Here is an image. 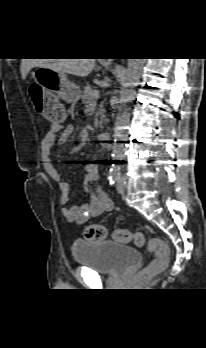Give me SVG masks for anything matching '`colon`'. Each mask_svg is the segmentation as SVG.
Returning <instances> with one entry per match:
<instances>
[{
	"instance_id": "obj_1",
	"label": "colon",
	"mask_w": 206,
	"mask_h": 348,
	"mask_svg": "<svg viewBox=\"0 0 206 348\" xmlns=\"http://www.w3.org/2000/svg\"><path fill=\"white\" fill-rule=\"evenodd\" d=\"M29 93L34 106L39 113L44 115L54 124H62L64 122L65 112L53 95L46 94L45 91L37 85H31ZM106 236L107 230L103 225H89L84 230V238L87 241H102ZM113 238L119 242H128L131 239H134L138 246L146 247L149 252L155 254V258L147 268L141 272L142 275L150 276L166 269L170 258V249L168 244L162 239L156 237L146 239L142 234H132L128 229L115 230Z\"/></svg>"
}]
</instances>
